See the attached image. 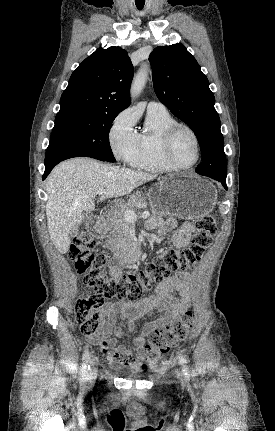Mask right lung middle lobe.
<instances>
[{"mask_svg": "<svg viewBox=\"0 0 275 431\" xmlns=\"http://www.w3.org/2000/svg\"><path fill=\"white\" fill-rule=\"evenodd\" d=\"M118 112L75 111L57 114L46 157L66 152H88L115 162L109 131Z\"/></svg>", "mask_w": 275, "mask_h": 431, "instance_id": "obj_1", "label": "right lung middle lobe"}]
</instances>
